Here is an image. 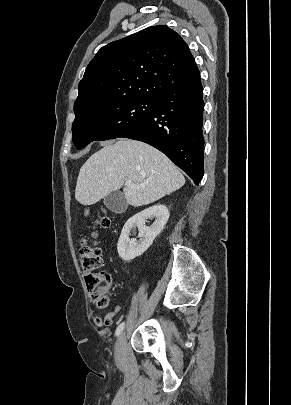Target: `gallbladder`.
Instances as JSON below:
<instances>
[{
  "mask_svg": "<svg viewBox=\"0 0 291 405\" xmlns=\"http://www.w3.org/2000/svg\"><path fill=\"white\" fill-rule=\"evenodd\" d=\"M104 205L114 213H122L128 206L125 196L119 191L109 193L104 198Z\"/></svg>",
  "mask_w": 291,
  "mask_h": 405,
  "instance_id": "1",
  "label": "gallbladder"
}]
</instances>
